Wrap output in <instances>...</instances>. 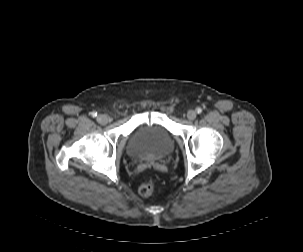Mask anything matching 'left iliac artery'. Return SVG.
Here are the masks:
<instances>
[{"label":"left iliac artery","mask_w":303,"mask_h":252,"mask_svg":"<svg viewBox=\"0 0 303 252\" xmlns=\"http://www.w3.org/2000/svg\"><path fill=\"white\" fill-rule=\"evenodd\" d=\"M196 112H197L198 114H200V113L202 112V109L198 107V108L196 109Z\"/></svg>","instance_id":"1"}]
</instances>
